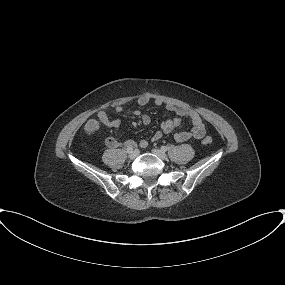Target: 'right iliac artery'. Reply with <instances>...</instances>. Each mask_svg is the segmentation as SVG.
<instances>
[{"label": "right iliac artery", "instance_id": "obj_1", "mask_svg": "<svg viewBox=\"0 0 285 285\" xmlns=\"http://www.w3.org/2000/svg\"><path fill=\"white\" fill-rule=\"evenodd\" d=\"M127 147V152H131L133 150V147L132 146H126Z\"/></svg>", "mask_w": 285, "mask_h": 285}]
</instances>
